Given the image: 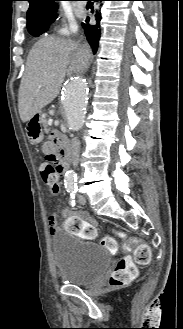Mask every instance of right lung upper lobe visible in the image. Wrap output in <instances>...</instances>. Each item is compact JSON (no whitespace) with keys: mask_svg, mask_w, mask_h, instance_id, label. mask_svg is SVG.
Here are the masks:
<instances>
[{"mask_svg":"<svg viewBox=\"0 0 183 329\" xmlns=\"http://www.w3.org/2000/svg\"><path fill=\"white\" fill-rule=\"evenodd\" d=\"M30 3L27 11V28L41 22H50L54 18L51 17L52 12L56 9L55 1L58 0H27Z\"/></svg>","mask_w":183,"mask_h":329,"instance_id":"cb5924a9","label":"right lung upper lobe"}]
</instances>
